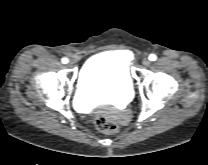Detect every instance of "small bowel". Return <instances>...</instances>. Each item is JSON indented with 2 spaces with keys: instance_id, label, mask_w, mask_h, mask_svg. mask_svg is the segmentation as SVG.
<instances>
[{
  "instance_id": "1",
  "label": "small bowel",
  "mask_w": 208,
  "mask_h": 165,
  "mask_svg": "<svg viewBox=\"0 0 208 165\" xmlns=\"http://www.w3.org/2000/svg\"><path fill=\"white\" fill-rule=\"evenodd\" d=\"M122 57H123V59H124V60H126V61H127V55H126V53H125V52H122Z\"/></svg>"
}]
</instances>
